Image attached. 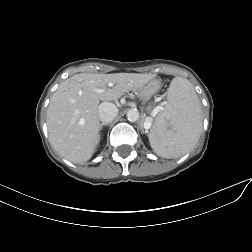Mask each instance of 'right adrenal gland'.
<instances>
[{
	"instance_id": "obj_1",
	"label": "right adrenal gland",
	"mask_w": 252,
	"mask_h": 252,
	"mask_svg": "<svg viewBox=\"0 0 252 252\" xmlns=\"http://www.w3.org/2000/svg\"><path fill=\"white\" fill-rule=\"evenodd\" d=\"M108 125H109V123H101L100 124V130L102 129L103 126H108Z\"/></svg>"
}]
</instances>
